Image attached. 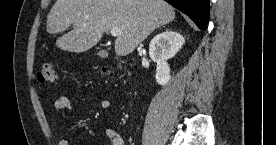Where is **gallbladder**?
<instances>
[{
  "label": "gallbladder",
  "mask_w": 276,
  "mask_h": 145,
  "mask_svg": "<svg viewBox=\"0 0 276 145\" xmlns=\"http://www.w3.org/2000/svg\"><path fill=\"white\" fill-rule=\"evenodd\" d=\"M103 52H104V51H100V52L98 53V55L102 57V56H103Z\"/></svg>",
  "instance_id": "obj_1"
}]
</instances>
